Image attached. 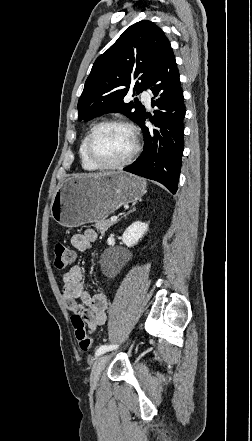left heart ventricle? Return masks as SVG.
Wrapping results in <instances>:
<instances>
[{"mask_svg": "<svg viewBox=\"0 0 252 441\" xmlns=\"http://www.w3.org/2000/svg\"><path fill=\"white\" fill-rule=\"evenodd\" d=\"M133 146L130 132L121 126H104L92 141V154L102 163H115L124 159Z\"/></svg>", "mask_w": 252, "mask_h": 441, "instance_id": "1", "label": "left heart ventricle"}]
</instances>
